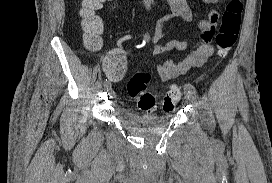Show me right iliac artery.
Here are the masks:
<instances>
[{
    "label": "right iliac artery",
    "mask_w": 272,
    "mask_h": 183,
    "mask_svg": "<svg viewBox=\"0 0 272 183\" xmlns=\"http://www.w3.org/2000/svg\"><path fill=\"white\" fill-rule=\"evenodd\" d=\"M108 82H109V81L106 80V81L104 82V85H106Z\"/></svg>",
    "instance_id": "82829eb1"
}]
</instances>
